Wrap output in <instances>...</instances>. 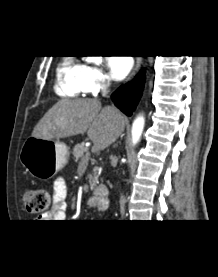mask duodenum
<instances>
[{
  "label": "duodenum",
  "instance_id": "1",
  "mask_svg": "<svg viewBox=\"0 0 218 277\" xmlns=\"http://www.w3.org/2000/svg\"><path fill=\"white\" fill-rule=\"evenodd\" d=\"M108 198H109L108 187L105 185H99L94 190L92 203L100 209H105L108 204Z\"/></svg>",
  "mask_w": 218,
  "mask_h": 277
}]
</instances>
